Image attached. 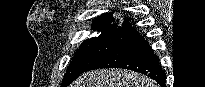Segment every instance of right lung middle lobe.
Here are the masks:
<instances>
[{
  "label": "right lung middle lobe",
  "mask_w": 205,
  "mask_h": 87,
  "mask_svg": "<svg viewBox=\"0 0 205 87\" xmlns=\"http://www.w3.org/2000/svg\"><path fill=\"white\" fill-rule=\"evenodd\" d=\"M131 36L125 32H101L87 39L76 51L64 75L61 87H67L81 73L87 71L95 62L126 42Z\"/></svg>",
  "instance_id": "1"
}]
</instances>
